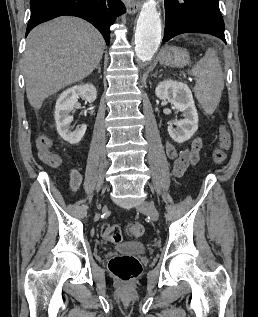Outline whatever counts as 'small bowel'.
Returning a JSON list of instances; mask_svg holds the SVG:
<instances>
[{
	"instance_id": "1",
	"label": "small bowel",
	"mask_w": 258,
	"mask_h": 317,
	"mask_svg": "<svg viewBox=\"0 0 258 317\" xmlns=\"http://www.w3.org/2000/svg\"><path fill=\"white\" fill-rule=\"evenodd\" d=\"M53 141L46 135L41 134L36 139V146L38 152L41 151H52ZM202 148V140L197 137L195 138L191 145L184 148L178 149L172 142L167 141L165 144V149L168 157L173 160V172L177 177H181L186 169L194 165L199 160V153ZM82 177L77 169H72L70 171V187L72 190H77L81 184Z\"/></svg>"
}]
</instances>
